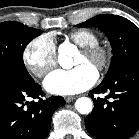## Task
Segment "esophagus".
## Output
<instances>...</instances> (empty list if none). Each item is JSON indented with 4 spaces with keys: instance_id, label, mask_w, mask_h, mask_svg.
Returning a JSON list of instances; mask_svg holds the SVG:
<instances>
[{
    "instance_id": "34e87169",
    "label": "esophagus",
    "mask_w": 139,
    "mask_h": 139,
    "mask_svg": "<svg viewBox=\"0 0 139 139\" xmlns=\"http://www.w3.org/2000/svg\"><path fill=\"white\" fill-rule=\"evenodd\" d=\"M75 98H76L75 96H66V97H65V101H66L67 103H69V102H72Z\"/></svg>"
}]
</instances>
